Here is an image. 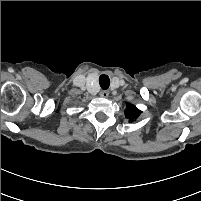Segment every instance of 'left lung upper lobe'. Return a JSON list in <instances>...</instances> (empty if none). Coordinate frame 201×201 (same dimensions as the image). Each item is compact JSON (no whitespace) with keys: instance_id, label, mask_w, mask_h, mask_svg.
<instances>
[{"instance_id":"left-lung-upper-lobe-1","label":"left lung upper lobe","mask_w":201,"mask_h":201,"mask_svg":"<svg viewBox=\"0 0 201 201\" xmlns=\"http://www.w3.org/2000/svg\"><path fill=\"white\" fill-rule=\"evenodd\" d=\"M141 111L137 109L134 105L128 103L126 110H125V115L126 118L129 119L130 122L134 121L136 118L139 117Z\"/></svg>"}]
</instances>
